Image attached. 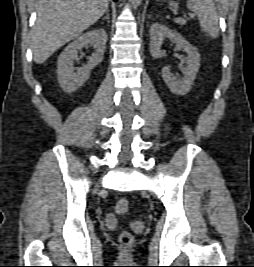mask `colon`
<instances>
[{
	"mask_svg": "<svg viewBox=\"0 0 254 267\" xmlns=\"http://www.w3.org/2000/svg\"><path fill=\"white\" fill-rule=\"evenodd\" d=\"M116 210L121 215L126 214L129 210L128 199L121 198L116 204ZM133 241H134L133 236L128 231H123L119 236V242L125 248L130 247L133 244Z\"/></svg>",
	"mask_w": 254,
	"mask_h": 267,
	"instance_id": "colon-1",
	"label": "colon"
}]
</instances>
